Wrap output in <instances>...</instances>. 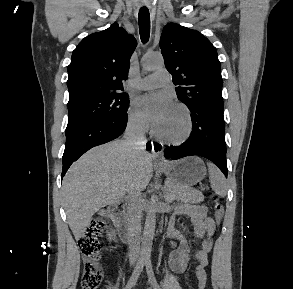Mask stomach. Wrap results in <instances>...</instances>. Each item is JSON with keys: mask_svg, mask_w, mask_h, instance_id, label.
<instances>
[{"mask_svg": "<svg viewBox=\"0 0 293 289\" xmlns=\"http://www.w3.org/2000/svg\"><path fill=\"white\" fill-rule=\"evenodd\" d=\"M166 172L169 180L182 186H193L206 175V167L199 157H186L160 165Z\"/></svg>", "mask_w": 293, "mask_h": 289, "instance_id": "0dacf381", "label": "stomach"}]
</instances>
